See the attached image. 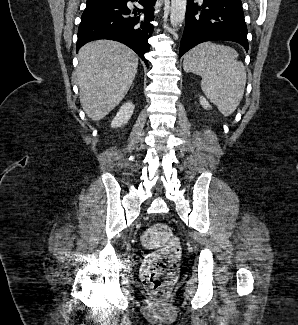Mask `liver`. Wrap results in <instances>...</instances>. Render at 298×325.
<instances>
[{
  "mask_svg": "<svg viewBox=\"0 0 298 325\" xmlns=\"http://www.w3.org/2000/svg\"><path fill=\"white\" fill-rule=\"evenodd\" d=\"M79 98L91 120H101L127 94L137 72L138 56L116 40H93L78 52Z\"/></svg>",
  "mask_w": 298,
  "mask_h": 325,
  "instance_id": "6515ba94",
  "label": "liver"
}]
</instances>
